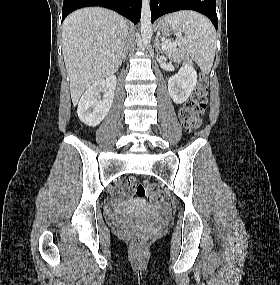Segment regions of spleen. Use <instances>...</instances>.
<instances>
[{
  "label": "spleen",
  "mask_w": 280,
  "mask_h": 285,
  "mask_svg": "<svg viewBox=\"0 0 280 285\" xmlns=\"http://www.w3.org/2000/svg\"><path fill=\"white\" fill-rule=\"evenodd\" d=\"M165 22L174 29L180 47L204 73H209L216 51V34L209 19L193 11H180L167 15Z\"/></svg>",
  "instance_id": "obj_1"
}]
</instances>
